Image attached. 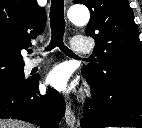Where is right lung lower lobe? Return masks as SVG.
Segmentation results:
<instances>
[{"label": "right lung lower lobe", "instance_id": "98d812e1", "mask_svg": "<svg viewBox=\"0 0 142 128\" xmlns=\"http://www.w3.org/2000/svg\"><path fill=\"white\" fill-rule=\"evenodd\" d=\"M38 83L39 77H33L17 87L0 90V118L58 128L65 114V102L56 90L40 94Z\"/></svg>", "mask_w": 142, "mask_h": 128}]
</instances>
